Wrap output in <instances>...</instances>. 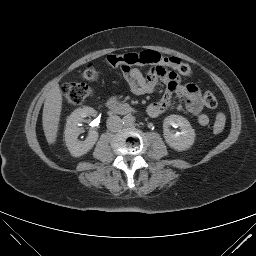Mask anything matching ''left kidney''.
<instances>
[{
    "label": "left kidney",
    "instance_id": "obj_1",
    "mask_svg": "<svg viewBox=\"0 0 256 256\" xmlns=\"http://www.w3.org/2000/svg\"><path fill=\"white\" fill-rule=\"evenodd\" d=\"M179 127L181 132L174 133L170 127ZM163 135L166 143L177 151H185L190 148L195 141V131L189 121L179 115H170L164 119Z\"/></svg>",
    "mask_w": 256,
    "mask_h": 256
}]
</instances>
